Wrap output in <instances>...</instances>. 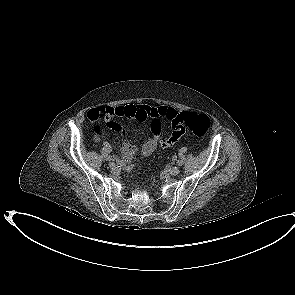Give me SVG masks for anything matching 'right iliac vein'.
<instances>
[{
	"mask_svg": "<svg viewBox=\"0 0 295 295\" xmlns=\"http://www.w3.org/2000/svg\"><path fill=\"white\" fill-rule=\"evenodd\" d=\"M110 168H115V163L114 162H109Z\"/></svg>",
	"mask_w": 295,
	"mask_h": 295,
	"instance_id": "obj_1",
	"label": "right iliac vein"
}]
</instances>
